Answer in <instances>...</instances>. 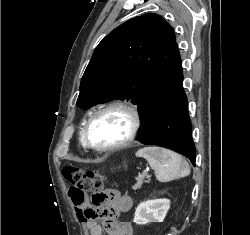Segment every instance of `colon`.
Here are the masks:
<instances>
[{"mask_svg": "<svg viewBox=\"0 0 250 235\" xmlns=\"http://www.w3.org/2000/svg\"><path fill=\"white\" fill-rule=\"evenodd\" d=\"M63 176L70 184L69 196L75 206L83 205L88 195L94 207L107 200L106 179L101 171L83 170L75 165H66L63 169ZM90 217H96V212L92 211Z\"/></svg>", "mask_w": 250, "mask_h": 235, "instance_id": "1", "label": "colon"}]
</instances>
